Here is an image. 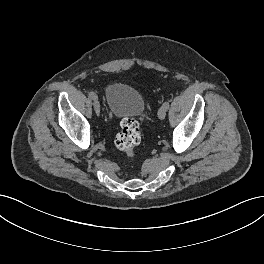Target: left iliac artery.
Instances as JSON below:
<instances>
[{
  "label": "left iliac artery",
  "instance_id": "obj_1",
  "mask_svg": "<svg viewBox=\"0 0 264 264\" xmlns=\"http://www.w3.org/2000/svg\"><path fill=\"white\" fill-rule=\"evenodd\" d=\"M163 106L166 108V110H168V108H169V102L168 101L164 102L163 103Z\"/></svg>",
  "mask_w": 264,
  "mask_h": 264
}]
</instances>
